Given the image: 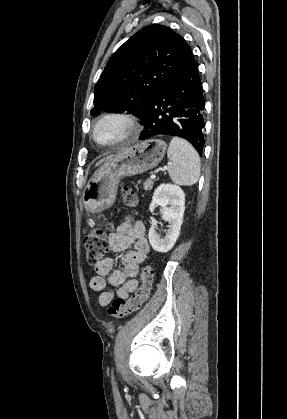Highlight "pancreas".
<instances>
[{"instance_id": "cf45deb5", "label": "pancreas", "mask_w": 287, "mask_h": 419, "mask_svg": "<svg viewBox=\"0 0 287 419\" xmlns=\"http://www.w3.org/2000/svg\"><path fill=\"white\" fill-rule=\"evenodd\" d=\"M153 185H154V181L153 180H146L143 183L144 190L145 191L151 190L153 188Z\"/></svg>"}]
</instances>
